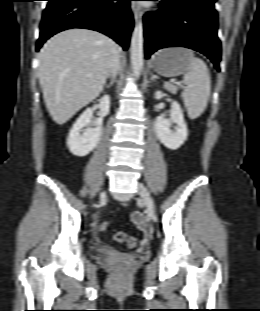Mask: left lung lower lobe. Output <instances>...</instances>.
Returning <instances> with one entry per match:
<instances>
[{
  "instance_id": "0a47b994",
  "label": "left lung lower lobe",
  "mask_w": 260,
  "mask_h": 311,
  "mask_svg": "<svg viewBox=\"0 0 260 311\" xmlns=\"http://www.w3.org/2000/svg\"><path fill=\"white\" fill-rule=\"evenodd\" d=\"M146 58L158 49L181 46L206 55L219 69L221 43L214 4L204 0H163L160 10L144 16Z\"/></svg>"
}]
</instances>
